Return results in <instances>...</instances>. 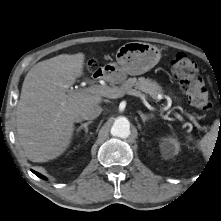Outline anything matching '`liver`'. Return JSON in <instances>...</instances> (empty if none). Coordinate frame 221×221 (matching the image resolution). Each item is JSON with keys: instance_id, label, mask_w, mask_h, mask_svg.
Listing matches in <instances>:
<instances>
[{"instance_id": "obj_1", "label": "liver", "mask_w": 221, "mask_h": 221, "mask_svg": "<svg viewBox=\"0 0 221 221\" xmlns=\"http://www.w3.org/2000/svg\"><path fill=\"white\" fill-rule=\"evenodd\" d=\"M83 53L61 54L26 74L16 109L19 144L33 162H47L70 145L82 109L102 102L100 94L70 89L84 72Z\"/></svg>"}]
</instances>
